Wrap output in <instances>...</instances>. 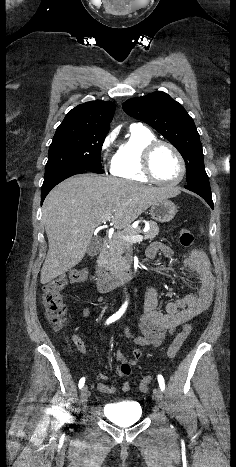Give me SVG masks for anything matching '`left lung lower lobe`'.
Returning <instances> with one entry per match:
<instances>
[{
  "label": "left lung lower lobe",
  "instance_id": "1",
  "mask_svg": "<svg viewBox=\"0 0 236 467\" xmlns=\"http://www.w3.org/2000/svg\"><path fill=\"white\" fill-rule=\"evenodd\" d=\"M184 188L200 195L211 208L214 207L209 180L189 183Z\"/></svg>",
  "mask_w": 236,
  "mask_h": 467
}]
</instances>
